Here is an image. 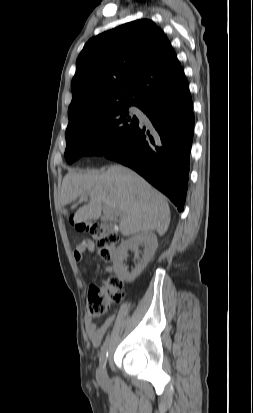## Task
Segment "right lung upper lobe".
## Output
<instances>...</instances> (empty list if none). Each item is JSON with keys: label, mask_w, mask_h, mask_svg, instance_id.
<instances>
[{"label": "right lung upper lobe", "mask_w": 253, "mask_h": 413, "mask_svg": "<svg viewBox=\"0 0 253 413\" xmlns=\"http://www.w3.org/2000/svg\"><path fill=\"white\" fill-rule=\"evenodd\" d=\"M188 82L164 32L148 19L91 38L76 61L69 121L116 105L178 97Z\"/></svg>", "instance_id": "right-lung-upper-lobe-1"}]
</instances>
